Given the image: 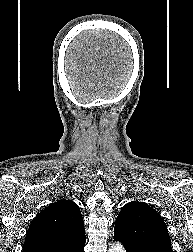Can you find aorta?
Here are the masks:
<instances>
[{
  "label": "aorta",
  "mask_w": 193,
  "mask_h": 252,
  "mask_svg": "<svg viewBox=\"0 0 193 252\" xmlns=\"http://www.w3.org/2000/svg\"><path fill=\"white\" fill-rule=\"evenodd\" d=\"M109 252H126L121 243H113L109 248Z\"/></svg>",
  "instance_id": "aorta-1"
}]
</instances>
